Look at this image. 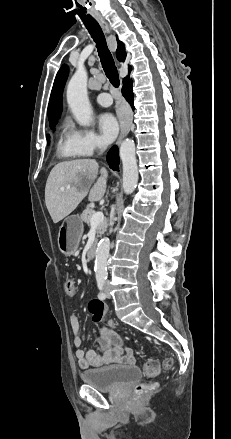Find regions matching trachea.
Returning <instances> with one entry per match:
<instances>
[{"instance_id":"trachea-1","label":"trachea","mask_w":231,"mask_h":439,"mask_svg":"<svg viewBox=\"0 0 231 439\" xmlns=\"http://www.w3.org/2000/svg\"><path fill=\"white\" fill-rule=\"evenodd\" d=\"M84 25L86 26L96 43L102 67L107 78L110 80V83L114 87H119V74L115 66L114 59L107 47L106 39L100 25L91 16L89 17V19L87 17H84Z\"/></svg>"}]
</instances>
